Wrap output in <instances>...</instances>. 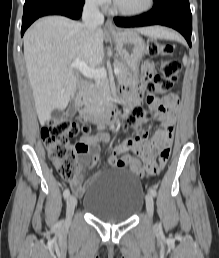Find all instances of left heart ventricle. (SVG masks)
<instances>
[{
	"label": "left heart ventricle",
	"mask_w": 219,
	"mask_h": 258,
	"mask_svg": "<svg viewBox=\"0 0 219 258\" xmlns=\"http://www.w3.org/2000/svg\"><path fill=\"white\" fill-rule=\"evenodd\" d=\"M116 2L124 9L135 10L144 7L147 0H116Z\"/></svg>",
	"instance_id": "1"
}]
</instances>
